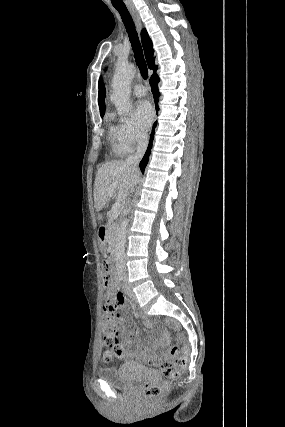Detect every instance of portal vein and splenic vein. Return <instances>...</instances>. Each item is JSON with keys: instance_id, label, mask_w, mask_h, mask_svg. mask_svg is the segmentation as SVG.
Instances as JSON below:
<instances>
[{"instance_id": "portal-vein-and-splenic-vein-1", "label": "portal vein and splenic vein", "mask_w": 285, "mask_h": 427, "mask_svg": "<svg viewBox=\"0 0 285 427\" xmlns=\"http://www.w3.org/2000/svg\"><path fill=\"white\" fill-rule=\"evenodd\" d=\"M116 188V184H113V186L110 188V194H113L114 190ZM121 209V203L120 202H116L113 206H112V216H117L120 212Z\"/></svg>"}]
</instances>
